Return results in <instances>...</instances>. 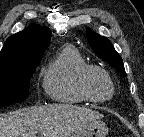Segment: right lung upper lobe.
I'll use <instances>...</instances> for the list:
<instances>
[{
    "mask_svg": "<svg viewBox=\"0 0 144 137\" xmlns=\"http://www.w3.org/2000/svg\"><path fill=\"white\" fill-rule=\"evenodd\" d=\"M50 39L49 28L31 24L6 40L0 52V65L41 60Z\"/></svg>",
    "mask_w": 144,
    "mask_h": 137,
    "instance_id": "right-lung-upper-lobe-1",
    "label": "right lung upper lobe"
}]
</instances>
